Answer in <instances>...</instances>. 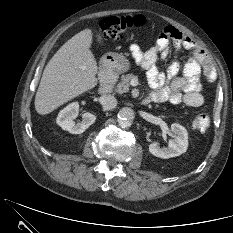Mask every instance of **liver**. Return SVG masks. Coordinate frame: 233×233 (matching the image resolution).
<instances>
[{
  "label": "liver",
  "instance_id": "6515ba94",
  "mask_svg": "<svg viewBox=\"0 0 233 233\" xmlns=\"http://www.w3.org/2000/svg\"><path fill=\"white\" fill-rule=\"evenodd\" d=\"M91 43L92 31L82 30L50 59L35 96L37 113L48 114L97 85L98 67Z\"/></svg>",
  "mask_w": 233,
  "mask_h": 233
}]
</instances>
